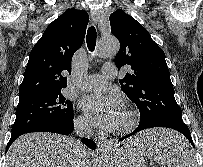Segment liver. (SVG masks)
Wrapping results in <instances>:
<instances>
[{
    "instance_id": "1",
    "label": "liver",
    "mask_w": 203,
    "mask_h": 167,
    "mask_svg": "<svg viewBox=\"0 0 203 167\" xmlns=\"http://www.w3.org/2000/svg\"><path fill=\"white\" fill-rule=\"evenodd\" d=\"M153 134V133H152ZM172 135H178L170 132ZM144 138L128 142L137 146ZM77 141L71 137L50 133H28L19 137L9 148L5 167H91L89 155L79 157Z\"/></svg>"
}]
</instances>
